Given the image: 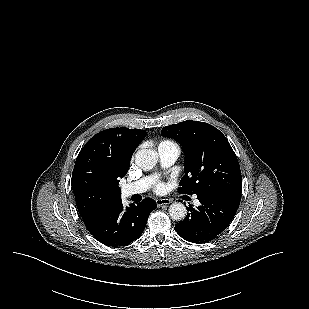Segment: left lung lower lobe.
Instances as JSON below:
<instances>
[{"label": "left lung lower lobe", "instance_id": "left-lung-lower-lobe-1", "mask_svg": "<svg viewBox=\"0 0 309 309\" xmlns=\"http://www.w3.org/2000/svg\"><path fill=\"white\" fill-rule=\"evenodd\" d=\"M201 205L188 207L185 219L175 224L183 239L192 243H205L221 234L231 223L239 207L241 195L232 193L197 194Z\"/></svg>", "mask_w": 309, "mask_h": 309}]
</instances>
